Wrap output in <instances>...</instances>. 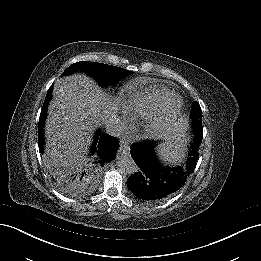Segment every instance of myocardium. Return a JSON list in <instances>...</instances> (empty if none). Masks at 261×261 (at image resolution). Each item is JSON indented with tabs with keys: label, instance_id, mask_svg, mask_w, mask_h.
<instances>
[{
	"label": "myocardium",
	"instance_id": "obj_1",
	"mask_svg": "<svg viewBox=\"0 0 261 261\" xmlns=\"http://www.w3.org/2000/svg\"><path fill=\"white\" fill-rule=\"evenodd\" d=\"M172 103H175L176 108L173 112H170L169 107ZM182 108L183 101L181 97L173 94L161 109L138 123L137 131L148 139L165 134L178 119Z\"/></svg>",
	"mask_w": 261,
	"mask_h": 261
}]
</instances>
